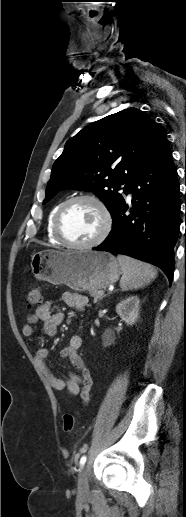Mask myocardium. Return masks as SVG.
I'll list each match as a JSON object with an SVG mask.
<instances>
[{
	"label": "myocardium",
	"instance_id": "f54148a6",
	"mask_svg": "<svg viewBox=\"0 0 186 517\" xmlns=\"http://www.w3.org/2000/svg\"><path fill=\"white\" fill-rule=\"evenodd\" d=\"M79 201H89V202L93 203L99 209L101 216H102V227H101L99 234L94 239H92L91 241L86 242V243H75V242L68 240L64 236V234L62 232V227H61L62 219H63V216H64L65 212L67 211V209L71 205H73L74 203L79 202ZM53 228H54L55 236L65 246L70 247V248H75V249H91V248L96 247L99 244H101L110 234L111 229H112V216H111V213H110L109 209L107 208L106 204L101 199H99L98 197H96L95 195H92V194H80V195H76V196L68 199L59 207V209L54 217Z\"/></svg>",
	"mask_w": 186,
	"mask_h": 517
}]
</instances>
